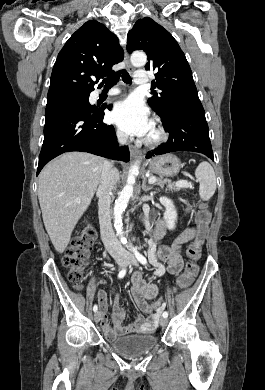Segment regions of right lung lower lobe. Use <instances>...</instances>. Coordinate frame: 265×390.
<instances>
[{
    "instance_id": "1",
    "label": "right lung lower lobe",
    "mask_w": 265,
    "mask_h": 390,
    "mask_svg": "<svg viewBox=\"0 0 265 390\" xmlns=\"http://www.w3.org/2000/svg\"><path fill=\"white\" fill-rule=\"evenodd\" d=\"M75 103L46 106L44 141L37 175L44 165L66 151H83L128 162V147H118L114 127L103 123L104 109Z\"/></svg>"
}]
</instances>
